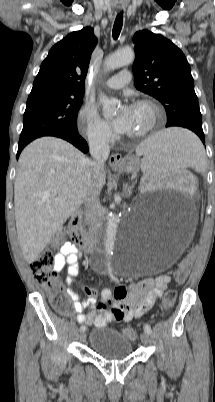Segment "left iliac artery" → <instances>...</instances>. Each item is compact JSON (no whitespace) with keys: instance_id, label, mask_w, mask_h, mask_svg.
Returning a JSON list of instances; mask_svg holds the SVG:
<instances>
[{"instance_id":"left-iliac-artery-1","label":"left iliac artery","mask_w":215,"mask_h":402,"mask_svg":"<svg viewBox=\"0 0 215 402\" xmlns=\"http://www.w3.org/2000/svg\"><path fill=\"white\" fill-rule=\"evenodd\" d=\"M144 331L148 334H151L152 330L148 324H144Z\"/></svg>"}]
</instances>
